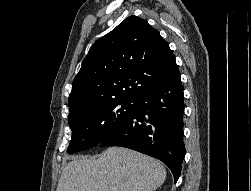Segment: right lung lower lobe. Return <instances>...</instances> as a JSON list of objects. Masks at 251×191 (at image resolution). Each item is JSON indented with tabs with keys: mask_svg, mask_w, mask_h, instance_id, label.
I'll return each mask as SVG.
<instances>
[{
	"mask_svg": "<svg viewBox=\"0 0 251 191\" xmlns=\"http://www.w3.org/2000/svg\"><path fill=\"white\" fill-rule=\"evenodd\" d=\"M183 88L180 73L139 96L136 110L100 144L122 146L155 157L172 171L175 182L185 156Z\"/></svg>",
	"mask_w": 251,
	"mask_h": 191,
	"instance_id": "1",
	"label": "right lung lower lobe"
}]
</instances>
